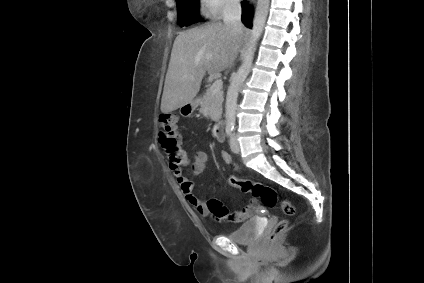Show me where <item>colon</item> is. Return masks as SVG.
Returning a JSON list of instances; mask_svg holds the SVG:
<instances>
[{
    "label": "colon",
    "instance_id": "5ec220e1",
    "mask_svg": "<svg viewBox=\"0 0 424 283\" xmlns=\"http://www.w3.org/2000/svg\"><path fill=\"white\" fill-rule=\"evenodd\" d=\"M178 117L174 113H164L159 116V143L167 155L172 169H178L187 163V155L181 147L180 136L176 131ZM227 183L245 194H249L255 199H259L263 205L273 208L280 205L283 212L287 216H293L296 213L294 204L288 199H281L277 191L264 183L254 182L249 179L230 176ZM209 212L218 220L234 219L235 214L229 213L222 203L211 198L207 201ZM288 226L287 221H281L269 233V241L274 242L280 234H282Z\"/></svg>",
    "mask_w": 424,
    "mask_h": 283
}]
</instances>
